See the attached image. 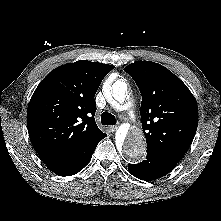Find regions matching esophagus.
I'll return each instance as SVG.
<instances>
[{"mask_svg":"<svg viewBox=\"0 0 221 221\" xmlns=\"http://www.w3.org/2000/svg\"><path fill=\"white\" fill-rule=\"evenodd\" d=\"M117 128H118V127H117L116 125H115V126H111V127H110V131H111V132H115V131L117 130Z\"/></svg>","mask_w":221,"mask_h":221,"instance_id":"34e87169","label":"esophagus"}]
</instances>
